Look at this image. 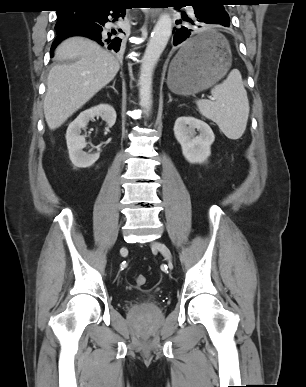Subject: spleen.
<instances>
[{
	"label": "spleen",
	"instance_id": "3e777b00",
	"mask_svg": "<svg viewBox=\"0 0 306 387\" xmlns=\"http://www.w3.org/2000/svg\"><path fill=\"white\" fill-rule=\"evenodd\" d=\"M211 94L214 101H196L200 113L215 122L229 139L240 138L246 129L250 110L240 72L233 69L222 83L214 86Z\"/></svg>",
	"mask_w": 306,
	"mask_h": 387
}]
</instances>
